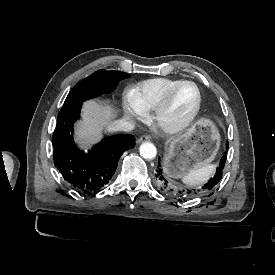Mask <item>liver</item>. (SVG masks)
I'll return each instance as SVG.
<instances>
[{"label": "liver", "mask_w": 275, "mask_h": 275, "mask_svg": "<svg viewBox=\"0 0 275 275\" xmlns=\"http://www.w3.org/2000/svg\"><path fill=\"white\" fill-rule=\"evenodd\" d=\"M111 109L102 107L95 102H88L84 107V120L83 126H77L78 132L81 137L85 140H95L99 136V131L104 126H108L110 122L108 118L110 116Z\"/></svg>", "instance_id": "liver-1"}]
</instances>
